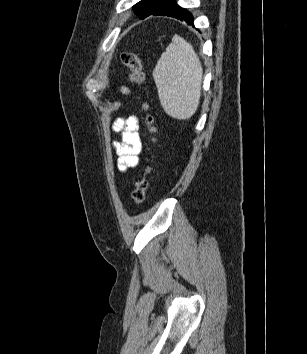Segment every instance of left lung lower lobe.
<instances>
[{
	"label": "left lung lower lobe",
	"instance_id": "1",
	"mask_svg": "<svg viewBox=\"0 0 307 354\" xmlns=\"http://www.w3.org/2000/svg\"><path fill=\"white\" fill-rule=\"evenodd\" d=\"M153 15L174 17L181 21H186L188 25L194 26L193 17L191 13L188 12L186 9L178 6L174 0H169L168 3L160 11L154 13Z\"/></svg>",
	"mask_w": 307,
	"mask_h": 354
}]
</instances>
